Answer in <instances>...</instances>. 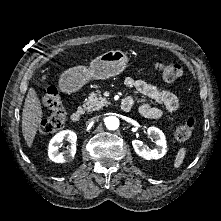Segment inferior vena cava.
<instances>
[{"label": "inferior vena cava", "mask_w": 221, "mask_h": 221, "mask_svg": "<svg viewBox=\"0 0 221 221\" xmlns=\"http://www.w3.org/2000/svg\"><path fill=\"white\" fill-rule=\"evenodd\" d=\"M91 121H92V119H89V120H88V123H90Z\"/></svg>", "instance_id": "obj_1"}]
</instances>
